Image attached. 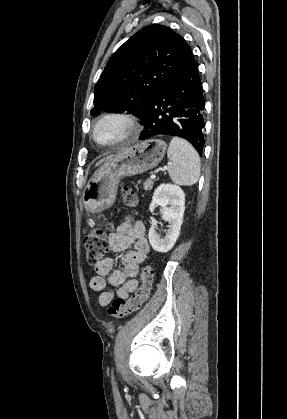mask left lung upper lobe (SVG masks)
<instances>
[{"mask_svg": "<svg viewBox=\"0 0 287 419\" xmlns=\"http://www.w3.org/2000/svg\"><path fill=\"white\" fill-rule=\"evenodd\" d=\"M193 62L180 35L162 25L144 27L109 58L95 85L90 113L128 112L143 121L153 96Z\"/></svg>", "mask_w": 287, "mask_h": 419, "instance_id": "1", "label": "left lung upper lobe"}]
</instances>
